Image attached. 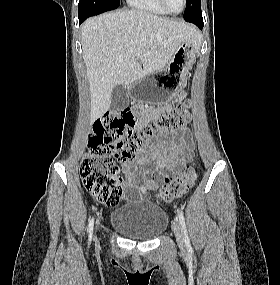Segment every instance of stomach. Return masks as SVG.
Returning <instances> with one entry per match:
<instances>
[{"mask_svg":"<svg viewBox=\"0 0 280 285\" xmlns=\"http://www.w3.org/2000/svg\"><path fill=\"white\" fill-rule=\"evenodd\" d=\"M195 57V45L190 41L182 42L163 70L148 74L131 85L133 99L147 100L155 105L169 103L184 87Z\"/></svg>","mask_w":280,"mask_h":285,"instance_id":"1","label":"stomach"}]
</instances>
